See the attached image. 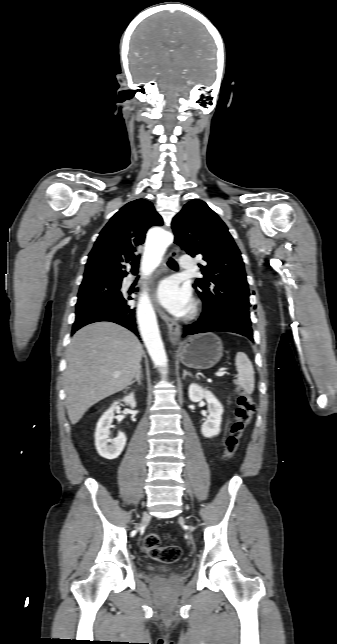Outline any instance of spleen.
Instances as JSON below:
<instances>
[{"label": "spleen", "mask_w": 337, "mask_h": 644, "mask_svg": "<svg viewBox=\"0 0 337 644\" xmlns=\"http://www.w3.org/2000/svg\"><path fill=\"white\" fill-rule=\"evenodd\" d=\"M238 377L234 383L242 387L247 394H251L255 388L254 369L251 361L244 352H238L235 357Z\"/></svg>", "instance_id": "1"}]
</instances>
